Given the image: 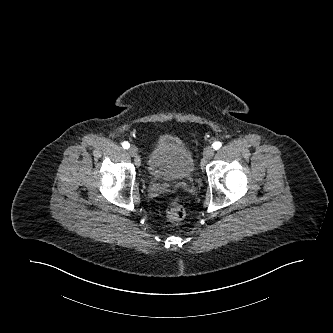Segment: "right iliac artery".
I'll list each match as a JSON object with an SVG mask.
<instances>
[{"instance_id":"right-iliac-artery-1","label":"right iliac artery","mask_w":333,"mask_h":333,"mask_svg":"<svg viewBox=\"0 0 333 333\" xmlns=\"http://www.w3.org/2000/svg\"><path fill=\"white\" fill-rule=\"evenodd\" d=\"M122 146L124 149H128L130 147V144L127 141H125L122 143Z\"/></svg>"}]
</instances>
